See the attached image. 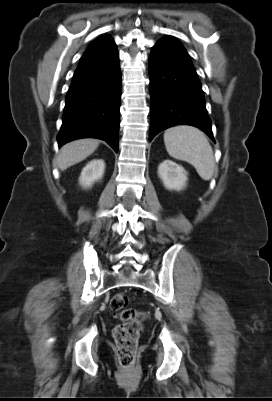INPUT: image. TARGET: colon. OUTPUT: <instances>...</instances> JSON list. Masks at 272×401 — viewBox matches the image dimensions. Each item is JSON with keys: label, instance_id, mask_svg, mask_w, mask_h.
<instances>
[{"label": "colon", "instance_id": "1", "mask_svg": "<svg viewBox=\"0 0 272 401\" xmlns=\"http://www.w3.org/2000/svg\"><path fill=\"white\" fill-rule=\"evenodd\" d=\"M127 302L125 294H115L110 301V308L122 321L113 331L119 362L122 367L131 368L135 362L142 321L146 314L137 309L126 308Z\"/></svg>", "mask_w": 272, "mask_h": 401}]
</instances>
